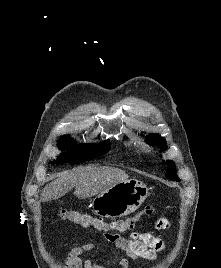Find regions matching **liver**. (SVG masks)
<instances>
[{"instance_id": "1", "label": "liver", "mask_w": 221, "mask_h": 268, "mask_svg": "<svg viewBox=\"0 0 221 268\" xmlns=\"http://www.w3.org/2000/svg\"><path fill=\"white\" fill-rule=\"evenodd\" d=\"M127 180L128 175L118 168L107 166L80 167L59 174L54 181L45 186L40 200L47 202L59 199L74 187L76 197L86 199Z\"/></svg>"}]
</instances>
